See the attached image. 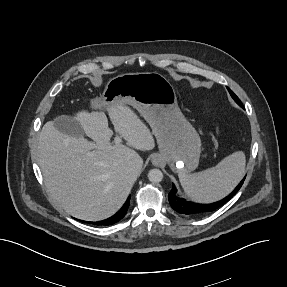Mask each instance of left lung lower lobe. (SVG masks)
Listing matches in <instances>:
<instances>
[{"label": "left lung lower lobe", "mask_w": 287, "mask_h": 287, "mask_svg": "<svg viewBox=\"0 0 287 287\" xmlns=\"http://www.w3.org/2000/svg\"><path fill=\"white\" fill-rule=\"evenodd\" d=\"M244 179L239 183V185L234 189L232 193H230L224 199L217 201L215 203L198 204V203L187 201L177 194V189L174 184L168 195V200H169L171 207L182 216H187V217L202 216V215H205L207 213H210L218 209L219 207L224 205L227 201H229L239 191V189L241 188L244 182Z\"/></svg>", "instance_id": "0a47b994"}]
</instances>
